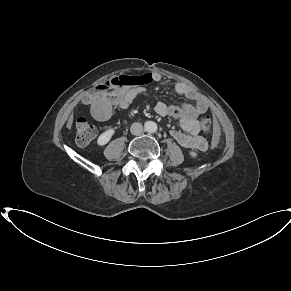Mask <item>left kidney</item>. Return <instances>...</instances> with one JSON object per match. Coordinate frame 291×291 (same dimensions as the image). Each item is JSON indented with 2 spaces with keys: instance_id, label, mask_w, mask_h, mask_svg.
Segmentation results:
<instances>
[{
  "instance_id": "left-kidney-1",
  "label": "left kidney",
  "mask_w": 291,
  "mask_h": 291,
  "mask_svg": "<svg viewBox=\"0 0 291 291\" xmlns=\"http://www.w3.org/2000/svg\"><path fill=\"white\" fill-rule=\"evenodd\" d=\"M189 155L192 157V158H197L198 154L194 151H190L189 152Z\"/></svg>"
}]
</instances>
